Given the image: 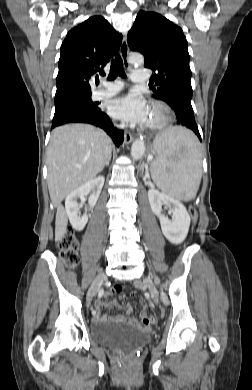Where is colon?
Instances as JSON below:
<instances>
[{"instance_id": "colon-1", "label": "colon", "mask_w": 252, "mask_h": 390, "mask_svg": "<svg viewBox=\"0 0 252 390\" xmlns=\"http://www.w3.org/2000/svg\"><path fill=\"white\" fill-rule=\"evenodd\" d=\"M193 221L197 219V211L194 207L189 208ZM79 243L73 232L66 233L59 241L60 259L67 267H74L78 264L80 257L78 252ZM115 291L119 295H124L123 287L115 286ZM136 291L131 292V296H136Z\"/></svg>"}]
</instances>
